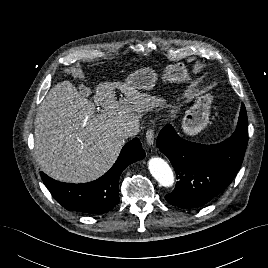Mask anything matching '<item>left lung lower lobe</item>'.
Wrapping results in <instances>:
<instances>
[{"label": "left lung lower lobe", "mask_w": 268, "mask_h": 268, "mask_svg": "<svg viewBox=\"0 0 268 268\" xmlns=\"http://www.w3.org/2000/svg\"><path fill=\"white\" fill-rule=\"evenodd\" d=\"M241 109L246 110L243 103ZM246 135L247 126L242 123L223 142L203 145L182 139L166 125L156 144L172 163L178 182L165 199L173 206L198 208L220 194L240 169L248 143Z\"/></svg>", "instance_id": "1"}]
</instances>
